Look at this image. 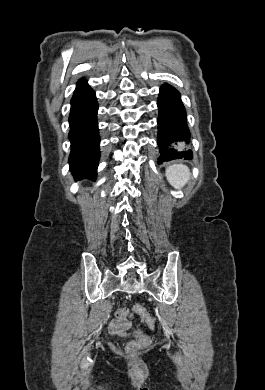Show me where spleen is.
Returning a JSON list of instances; mask_svg holds the SVG:
<instances>
[{"label":"spleen","instance_id":"1","mask_svg":"<svg viewBox=\"0 0 265 390\" xmlns=\"http://www.w3.org/2000/svg\"><path fill=\"white\" fill-rule=\"evenodd\" d=\"M166 178L173 187L181 188L190 179V170L183 164H173L166 169Z\"/></svg>","mask_w":265,"mask_h":390}]
</instances>
